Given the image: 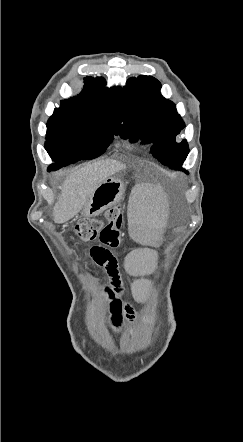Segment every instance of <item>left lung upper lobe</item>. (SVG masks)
Instances as JSON below:
<instances>
[{"label":"left lung upper lobe","instance_id":"left-lung-upper-lobe-1","mask_svg":"<svg viewBox=\"0 0 243 442\" xmlns=\"http://www.w3.org/2000/svg\"><path fill=\"white\" fill-rule=\"evenodd\" d=\"M161 84L152 77L130 78L123 88V125L120 137L153 143V156L170 168H181L189 147L186 140L176 142L185 127L176 106L160 94Z\"/></svg>","mask_w":243,"mask_h":442}]
</instances>
